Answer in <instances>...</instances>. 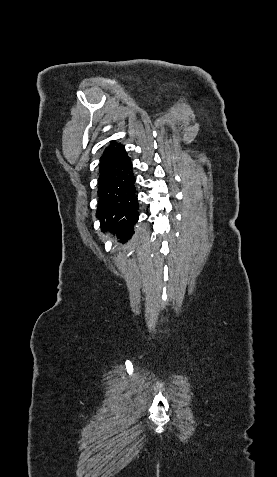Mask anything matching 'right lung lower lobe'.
<instances>
[{
    "label": "right lung lower lobe",
    "instance_id": "right-lung-lower-lobe-1",
    "mask_svg": "<svg viewBox=\"0 0 277 477\" xmlns=\"http://www.w3.org/2000/svg\"><path fill=\"white\" fill-rule=\"evenodd\" d=\"M97 218L101 226L127 240L138 221L132 164L125 147L111 141L100 158Z\"/></svg>",
    "mask_w": 277,
    "mask_h": 477
}]
</instances>
